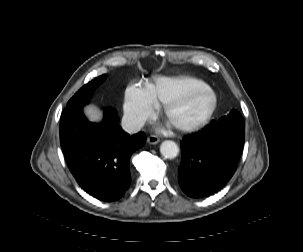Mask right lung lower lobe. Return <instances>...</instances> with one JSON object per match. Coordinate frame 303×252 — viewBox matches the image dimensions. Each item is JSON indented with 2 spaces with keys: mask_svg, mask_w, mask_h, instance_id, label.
Returning a JSON list of instances; mask_svg holds the SVG:
<instances>
[{
  "mask_svg": "<svg viewBox=\"0 0 303 252\" xmlns=\"http://www.w3.org/2000/svg\"><path fill=\"white\" fill-rule=\"evenodd\" d=\"M85 101L67 106L60 120V144L78 184L93 197L115 201L128 189L130 156L146 141L145 134L129 135L119 126L113 109L101 123H92L82 112Z\"/></svg>",
  "mask_w": 303,
  "mask_h": 252,
  "instance_id": "98d812e1",
  "label": "right lung lower lobe"
}]
</instances>
